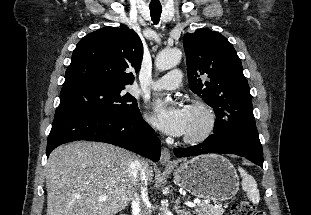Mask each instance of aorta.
Listing matches in <instances>:
<instances>
[{"label": "aorta", "mask_w": 311, "mask_h": 215, "mask_svg": "<svg viewBox=\"0 0 311 215\" xmlns=\"http://www.w3.org/2000/svg\"><path fill=\"white\" fill-rule=\"evenodd\" d=\"M180 59L181 51L179 49H165L157 55L155 66L159 71H165L175 67Z\"/></svg>", "instance_id": "aorta-1"}]
</instances>
